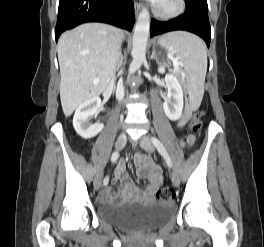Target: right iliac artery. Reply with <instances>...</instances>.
<instances>
[{
	"mask_svg": "<svg viewBox=\"0 0 264 247\" xmlns=\"http://www.w3.org/2000/svg\"><path fill=\"white\" fill-rule=\"evenodd\" d=\"M118 157H119V153H118L117 151H115V152L112 154V156H111V162H112V163H115V162L117 161ZM108 182H109V176H106V177L104 178V180H103V184H104V185H107Z\"/></svg>",
	"mask_w": 264,
	"mask_h": 247,
	"instance_id": "right-iliac-artery-1",
	"label": "right iliac artery"
}]
</instances>
